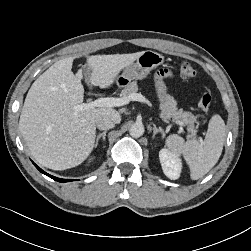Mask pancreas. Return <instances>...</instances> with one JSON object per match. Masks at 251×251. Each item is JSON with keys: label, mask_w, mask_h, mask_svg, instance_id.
I'll return each mask as SVG.
<instances>
[{"label": "pancreas", "mask_w": 251, "mask_h": 251, "mask_svg": "<svg viewBox=\"0 0 251 251\" xmlns=\"http://www.w3.org/2000/svg\"><path fill=\"white\" fill-rule=\"evenodd\" d=\"M138 91V85L136 81L131 82L122 91V97H128L132 93ZM159 108L161 110V116L166 119H172L177 121H182L188 126V131L190 134L188 138L196 136L195 124L199 125L197 117L190 112L183 111L182 109H177L176 100L169 94L159 95Z\"/></svg>", "instance_id": "cf45deb5"}]
</instances>
